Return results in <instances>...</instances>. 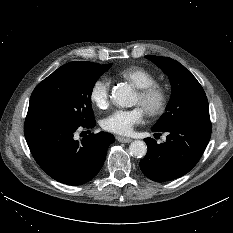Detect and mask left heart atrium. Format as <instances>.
Returning <instances> with one entry per match:
<instances>
[{
    "mask_svg": "<svg viewBox=\"0 0 233 233\" xmlns=\"http://www.w3.org/2000/svg\"><path fill=\"white\" fill-rule=\"evenodd\" d=\"M145 112L138 106L133 109H117L102 120V126L105 130L127 135L133 128L143 122Z\"/></svg>",
    "mask_w": 233,
    "mask_h": 233,
    "instance_id": "obj_1",
    "label": "left heart atrium"
}]
</instances>
